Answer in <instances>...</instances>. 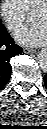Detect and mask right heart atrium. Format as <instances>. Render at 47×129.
Returning a JSON list of instances; mask_svg holds the SVG:
<instances>
[{
  "mask_svg": "<svg viewBox=\"0 0 47 129\" xmlns=\"http://www.w3.org/2000/svg\"><path fill=\"white\" fill-rule=\"evenodd\" d=\"M28 10L21 0H2L0 14L11 30H16L27 19Z\"/></svg>",
  "mask_w": 47,
  "mask_h": 129,
  "instance_id": "right-heart-atrium-1",
  "label": "right heart atrium"
}]
</instances>
